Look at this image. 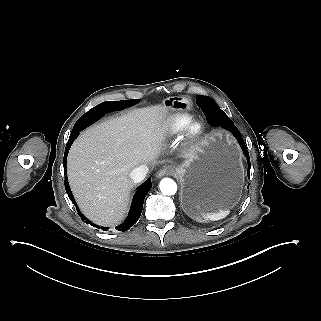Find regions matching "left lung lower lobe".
I'll return each instance as SVG.
<instances>
[{"label": "left lung lower lobe", "instance_id": "left-lung-lower-lobe-1", "mask_svg": "<svg viewBox=\"0 0 321 321\" xmlns=\"http://www.w3.org/2000/svg\"><path fill=\"white\" fill-rule=\"evenodd\" d=\"M202 111L205 113L207 120L211 126H221L230 132L235 136V138L238 140L244 155L247 158L248 162V176H250V158L249 153L247 151V148L245 146L244 140L237 129V127L234 125L232 120L219 108L217 104H212L204 109Z\"/></svg>", "mask_w": 321, "mask_h": 321}]
</instances>
